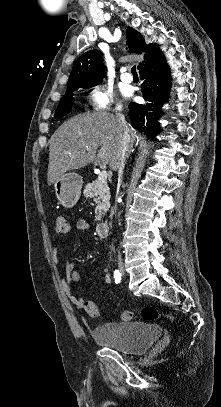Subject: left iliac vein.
<instances>
[{"label": "left iliac vein", "mask_w": 221, "mask_h": 407, "mask_svg": "<svg viewBox=\"0 0 221 407\" xmlns=\"http://www.w3.org/2000/svg\"><path fill=\"white\" fill-rule=\"evenodd\" d=\"M120 269H121V273H122V274H125L124 267H123V266H121V268H120Z\"/></svg>", "instance_id": "obj_1"}]
</instances>
